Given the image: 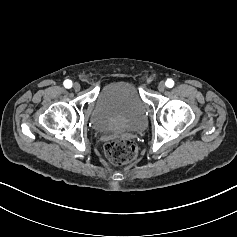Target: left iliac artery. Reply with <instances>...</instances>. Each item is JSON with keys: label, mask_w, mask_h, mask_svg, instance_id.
<instances>
[{"label": "left iliac artery", "mask_w": 237, "mask_h": 237, "mask_svg": "<svg viewBox=\"0 0 237 237\" xmlns=\"http://www.w3.org/2000/svg\"><path fill=\"white\" fill-rule=\"evenodd\" d=\"M165 85L169 88H172L174 86V81L172 79H167Z\"/></svg>", "instance_id": "left-iliac-artery-1"}]
</instances>
